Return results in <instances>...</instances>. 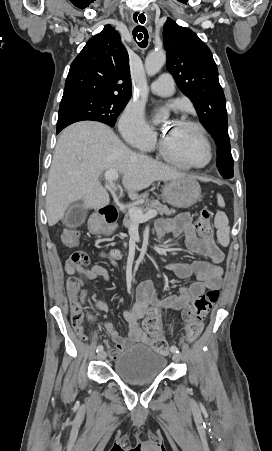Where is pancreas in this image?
<instances>
[{
  "instance_id": "obj_1",
  "label": "pancreas",
  "mask_w": 272,
  "mask_h": 451,
  "mask_svg": "<svg viewBox=\"0 0 272 451\" xmlns=\"http://www.w3.org/2000/svg\"><path fill=\"white\" fill-rule=\"evenodd\" d=\"M146 198H148V194H142V196H139V198H137V200H146ZM136 208H138V210H141V212H149V210H156L157 214H159V216H163V214H166V216H171V214H175L176 210H169V208H167V206H163V204H160V202H158V200H154V202H152V200H147V202H145V206H143V204H137ZM133 222L129 216V214H125V218L123 220V226L125 227H130L132 226ZM111 229H114L115 226H110ZM111 229L109 231V233H111Z\"/></svg>"
}]
</instances>
